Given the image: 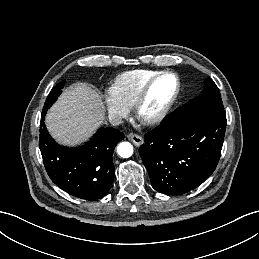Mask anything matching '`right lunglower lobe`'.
I'll list each match as a JSON object with an SVG mask.
<instances>
[{
	"mask_svg": "<svg viewBox=\"0 0 259 259\" xmlns=\"http://www.w3.org/2000/svg\"><path fill=\"white\" fill-rule=\"evenodd\" d=\"M123 138L118 129H99L91 141L68 149L57 145L41 120L39 148L45 169L58 187L80 199L98 200L112 187V155Z\"/></svg>",
	"mask_w": 259,
	"mask_h": 259,
	"instance_id": "1",
	"label": "right lung lower lobe"
}]
</instances>
